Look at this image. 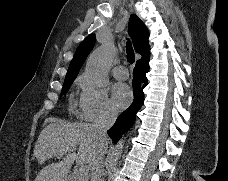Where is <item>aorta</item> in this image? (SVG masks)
Returning a JSON list of instances; mask_svg holds the SVG:
<instances>
[{
  "label": "aorta",
  "mask_w": 228,
  "mask_h": 181,
  "mask_svg": "<svg viewBox=\"0 0 228 181\" xmlns=\"http://www.w3.org/2000/svg\"><path fill=\"white\" fill-rule=\"evenodd\" d=\"M115 48L110 43L102 44L94 50L86 63V74L98 87H104L108 82V70L112 63ZM124 147V138L116 146V156H120Z\"/></svg>",
  "instance_id": "762f6f07"
}]
</instances>
